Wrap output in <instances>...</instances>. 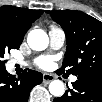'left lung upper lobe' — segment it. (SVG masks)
<instances>
[{
	"label": "left lung upper lobe",
	"mask_w": 102,
	"mask_h": 102,
	"mask_svg": "<svg viewBox=\"0 0 102 102\" xmlns=\"http://www.w3.org/2000/svg\"><path fill=\"white\" fill-rule=\"evenodd\" d=\"M61 25L67 41L58 72L102 79V23L80 11H46Z\"/></svg>",
	"instance_id": "obj_1"
}]
</instances>
